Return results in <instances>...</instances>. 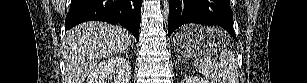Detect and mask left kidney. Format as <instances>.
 Listing matches in <instances>:
<instances>
[{
    "label": "left kidney",
    "mask_w": 307,
    "mask_h": 83,
    "mask_svg": "<svg viewBox=\"0 0 307 83\" xmlns=\"http://www.w3.org/2000/svg\"><path fill=\"white\" fill-rule=\"evenodd\" d=\"M183 83H212L206 79L197 77V76H185V78L182 81Z\"/></svg>",
    "instance_id": "1"
}]
</instances>
